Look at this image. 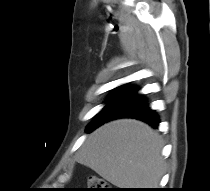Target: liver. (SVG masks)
Returning a JSON list of instances; mask_svg holds the SVG:
<instances>
[{"label":"liver","mask_w":210,"mask_h":191,"mask_svg":"<svg viewBox=\"0 0 210 191\" xmlns=\"http://www.w3.org/2000/svg\"><path fill=\"white\" fill-rule=\"evenodd\" d=\"M162 148L161 137L150 126L120 119L95 130L77 161L118 188H157L164 173Z\"/></svg>","instance_id":"6515ba94"}]
</instances>
